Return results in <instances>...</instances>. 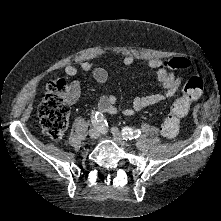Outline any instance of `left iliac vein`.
Listing matches in <instances>:
<instances>
[{
  "label": "left iliac vein",
  "mask_w": 221,
  "mask_h": 221,
  "mask_svg": "<svg viewBox=\"0 0 221 221\" xmlns=\"http://www.w3.org/2000/svg\"><path fill=\"white\" fill-rule=\"evenodd\" d=\"M111 133H112L113 137H114L122 146H126V145H127V141L123 138V136L121 135V132L119 131L118 128L112 127V128H111Z\"/></svg>",
  "instance_id": "1"
}]
</instances>
